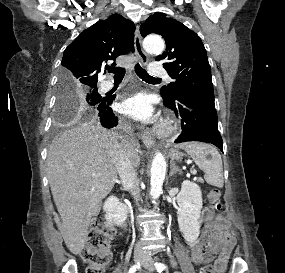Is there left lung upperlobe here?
<instances>
[{
    "mask_svg": "<svg viewBox=\"0 0 285 273\" xmlns=\"http://www.w3.org/2000/svg\"><path fill=\"white\" fill-rule=\"evenodd\" d=\"M143 37L156 33L164 37L166 51L156 58L174 80L161 91L174 100L183 95H214L211 68L200 37L177 20L156 12L140 27Z\"/></svg>",
    "mask_w": 285,
    "mask_h": 273,
    "instance_id": "obj_1",
    "label": "left lung upper lobe"
}]
</instances>
